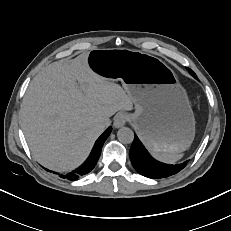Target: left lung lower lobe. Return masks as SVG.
<instances>
[{
    "mask_svg": "<svg viewBox=\"0 0 231 231\" xmlns=\"http://www.w3.org/2000/svg\"><path fill=\"white\" fill-rule=\"evenodd\" d=\"M129 157L133 167L139 174L154 179L174 175L181 171L188 163L186 161L182 164L169 165L156 161L146 151L136 135L130 148Z\"/></svg>",
    "mask_w": 231,
    "mask_h": 231,
    "instance_id": "left-lung-lower-lobe-1",
    "label": "left lung lower lobe"
}]
</instances>
